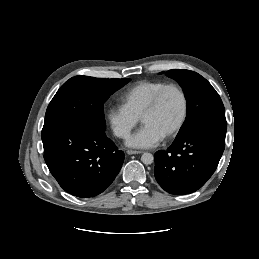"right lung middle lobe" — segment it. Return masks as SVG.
<instances>
[{"instance_id":"1","label":"right lung middle lobe","mask_w":259,"mask_h":259,"mask_svg":"<svg viewBox=\"0 0 259 259\" xmlns=\"http://www.w3.org/2000/svg\"><path fill=\"white\" fill-rule=\"evenodd\" d=\"M130 81L75 76L57 91L45 114L44 127L66 121H82L105 131L103 106L107 99Z\"/></svg>"}]
</instances>
